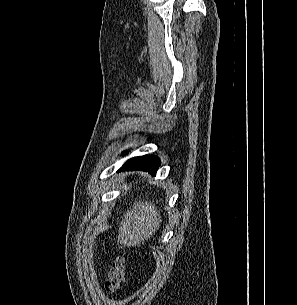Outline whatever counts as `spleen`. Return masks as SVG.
<instances>
[{
    "mask_svg": "<svg viewBox=\"0 0 297 305\" xmlns=\"http://www.w3.org/2000/svg\"><path fill=\"white\" fill-rule=\"evenodd\" d=\"M153 201H135L133 208L124 213L117 237L120 244L135 246L150 238L161 222Z\"/></svg>",
    "mask_w": 297,
    "mask_h": 305,
    "instance_id": "3e777b00",
    "label": "spleen"
}]
</instances>
